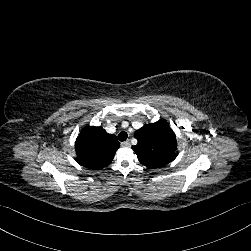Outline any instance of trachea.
<instances>
[{
  "label": "trachea",
  "instance_id": "trachea-1",
  "mask_svg": "<svg viewBox=\"0 0 251 251\" xmlns=\"http://www.w3.org/2000/svg\"><path fill=\"white\" fill-rule=\"evenodd\" d=\"M127 137H128L127 132L122 131L118 135V140L119 141H125L127 139Z\"/></svg>",
  "mask_w": 251,
  "mask_h": 251
}]
</instances>
